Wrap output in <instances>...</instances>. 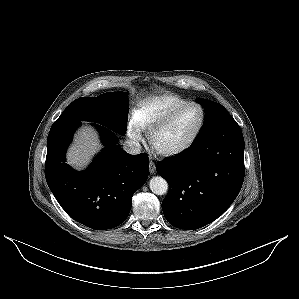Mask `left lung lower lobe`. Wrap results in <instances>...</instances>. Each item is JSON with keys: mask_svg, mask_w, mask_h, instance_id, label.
Here are the masks:
<instances>
[{"mask_svg": "<svg viewBox=\"0 0 299 299\" xmlns=\"http://www.w3.org/2000/svg\"><path fill=\"white\" fill-rule=\"evenodd\" d=\"M156 169L169 183L162 202L165 218L180 229H199L220 217L242 187L241 129L231 117Z\"/></svg>", "mask_w": 299, "mask_h": 299, "instance_id": "obj_1", "label": "left lung lower lobe"}]
</instances>
